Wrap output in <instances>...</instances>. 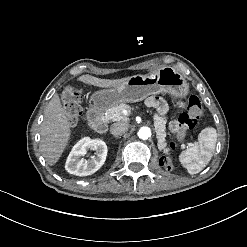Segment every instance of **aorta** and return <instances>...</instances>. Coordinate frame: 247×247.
Here are the masks:
<instances>
[{
  "instance_id": "obj_1",
  "label": "aorta",
  "mask_w": 247,
  "mask_h": 247,
  "mask_svg": "<svg viewBox=\"0 0 247 247\" xmlns=\"http://www.w3.org/2000/svg\"><path fill=\"white\" fill-rule=\"evenodd\" d=\"M137 135L140 139H148L149 137H151V129L149 127H141L138 130Z\"/></svg>"
}]
</instances>
